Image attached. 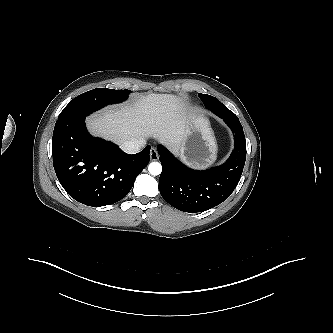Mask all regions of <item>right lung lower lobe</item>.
<instances>
[{
    "mask_svg": "<svg viewBox=\"0 0 333 333\" xmlns=\"http://www.w3.org/2000/svg\"><path fill=\"white\" fill-rule=\"evenodd\" d=\"M85 117H58L52 138L54 169L76 201L92 207L110 205L129 193L149 163L151 147L127 154L116 144L91 136Z\"/></svg>",
    "mask_w": 333,
    "mask_h": 333,
    "instance_id": "right-lung-lower-lobe-1",
    "label": "right lung lower lobe"
}]
</instances>
